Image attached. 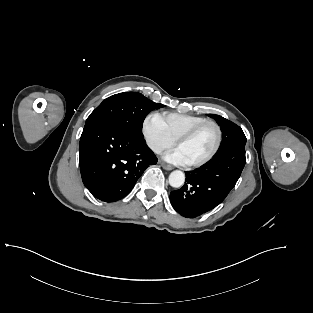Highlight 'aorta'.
<instances>
[{
  "instance_id": "obj_1",
  "label": "aorta",
  "mask_w": 313,
  "mask_h": 313,
  "mask_svg": "<svg viewBox=\"0 0 313 313\" xmlns=\"http://www.w3.org/2000/svg\"><path fill=\"white\" fill-rule=\"evenodd\" d=\"M185 182V174L180 170H175L169 175V184L174 188H180Z\"/></svg>"
}]
</instances>
